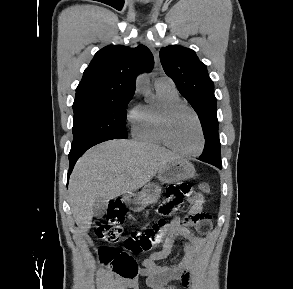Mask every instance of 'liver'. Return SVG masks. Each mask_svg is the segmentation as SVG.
Masks as SVG:
<instances>
[{
    "label": "liver",
    "mask_w": 293,
    "mask_h": 289,
    "mask_svg": "<svg viewBox=\"0 0 293 289\" xmlns=\"http://www.w3.org/2000/svg\"><path fill=\"white\" fill-rule=\"evenodd\" d=\"M179 159L165 148L135 140H111L89 149L70 176L69 202L76 224L87 230L97 199L138 190L167 163Z\"/></svg>",
    "instance_id": "1"
}]
</instances>
